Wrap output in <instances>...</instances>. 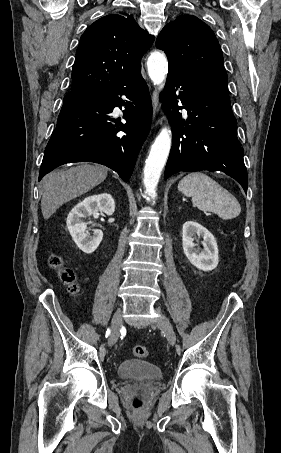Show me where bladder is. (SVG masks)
<instances>
[{"label": "bladder", "instance_id": "obj_1", "mask_svg": "<svg viewBox=\"0 0 281 453\" xmlns=\"http://www.w3.org/2000/svg\"><path fill=\"white\" fill-rule=\"evenodd\" d=\"M118 375L125 379L159 380L162 378V371L142 361L128 360L122 362L117 369Z\"/></svg>", "mask_w": 281, "mask_h": 453}]
</instances>
